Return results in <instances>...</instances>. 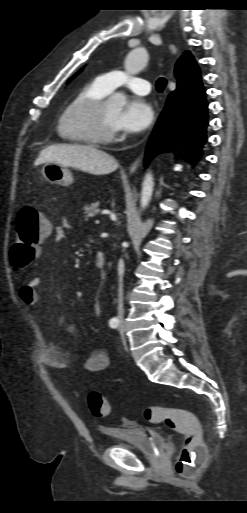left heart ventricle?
Wrapping results in <instances>:
<instances>
[{
  "instance_id": "left-heart-ventricle-1",
  "label": "left heart ventricle",
  "mask_w": 247,
  "mask_h": 513,
  "mask_svg": "<svg viewBox=\"0 0 247 513\" xmlns=\"http://www.w3.org/2000/svg\"><path fill=\"white\" fill-rule=\"evenodd\" d=\"M118 114L119 107L116 106L113 102L108 101L103 112V122L106 128L115 129L114 121Z\"/></svg>"
}]
</instances>
